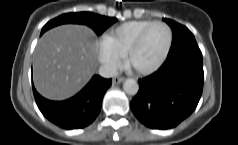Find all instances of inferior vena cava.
<instances>
[{"mask_svg": "<svg viewBox=\"0 0 238 145\" xmlns=\"http://www.w3.org/2000/svg\"><path fill=\"white\" fill-rule=\"evenodd\" d=\"M99 75L104 78H112L118 75V71L112 66L103 65L99 68Z\"/></svg>", "mask_w": 238, "mask_h": 145, "instance_id": "1", "label": "inferior vena cava"}]
</instances>
